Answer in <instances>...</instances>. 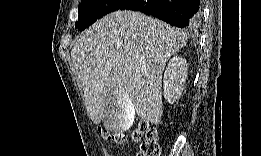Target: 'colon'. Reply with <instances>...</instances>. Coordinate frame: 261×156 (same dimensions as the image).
I'll list each match as a JSON object with an SVG mask.
<instances>
[{"label":"colon","instance_id":"obj_1","mask_svg":"<svg viewBox=\"0 0 261 156\" xmlns=\"http://www.w3.org/2000/svg\"><path fill=\"white\" fill-rule=\"evenodd\" d=\"M145 135V140L141 144L139 155L142 156H157L161 154L159 144V133L157 128L150 126L147 123H142L129 137L121 132H110L108 130L102 131L104 139L113 141L117 144H123L126 141L136 142L141 135Z\"/></svg>","mask_w":261,"mask_h":156}]
</instances>
